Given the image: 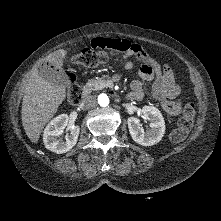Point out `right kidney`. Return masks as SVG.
<instances>
[{"mask_svg": "<svg viewBox=\"0 0 221 221\" xmlns=\"http://www.w3.org/2000/svg\"><path fill=\"white\" fill-rule=\"evenodd\" d=\"M69 117L67 114H61L55 117L45 128L43 134V141L45 147L57 154L66 153L70 151L77 143L80 132L79 126H72L68 128L69 135L65 140L58 139L63 134L65 127L68 124Z\"/></svg>", "mask_w": 221, "mask_h": 221, "instance_id": "right-kidney-1", "label": "right kidney"}]
</instances>
